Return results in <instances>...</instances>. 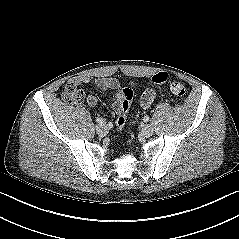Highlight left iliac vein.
<instances>
[{
  "instance_id": "obj_1",
  "label": "left iliac vein",
  "mask_w": 239,
  "mask_h": 239,
  "mask_svg": "<svg viewBox=\"0 0 239 239\" xmlns=\"http://www.w3.org/2000/svg\"><path fill=\"white\" fill-rule=\"evenodd\" d=\"M153 128L150 125H145L142 129V133L145 137H150L153 135Z\"/></svg>"
}]
</instances>
